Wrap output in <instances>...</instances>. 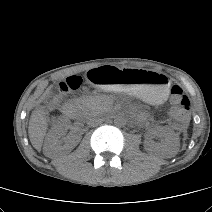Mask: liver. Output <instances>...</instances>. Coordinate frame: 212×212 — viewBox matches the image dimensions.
Here are the masks:
<instances>
[{
    "instance_id": "liver-1",
    "label": "liver",
    "mask_w": 212,
    "mask_h": 212,
    "mask_svg": "<svg viewBox=\"0 0 212 212\" xmlns=\"http://www.w3.org/2000/svg\"><path fill=\"white\" fill-rule=\"evenodd\" d=\"M47 127L48 122L45 116V112L42 109L34 110L29 120L28 134L31 144L37 151H41Z\"/></svg>"
}]
</instances>
